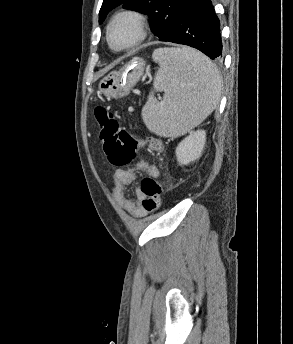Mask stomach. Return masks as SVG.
<instances>
[{
  "label": "stomach",
  "mask_w": 293,
  "mask_h": 344,
  "mask_svg": "<svg viewBox=\"0 0 293 344\" xmlns=\"http://www.w3.org/2000/svg\"><path fill=\"white\" fill-rule=\"evenodd\" d=\"M145 62L142 59L134 58L119 71H113L99 82V90L106 97H124L143 76Z\"/></svg>",
  "instance_id": "stomach-1"
}]
</instances>
